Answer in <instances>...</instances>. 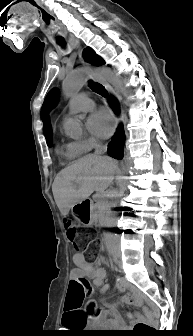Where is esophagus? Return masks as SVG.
<instances>
[{
	"instance_id": "1",
	"label": "esophagus",
	"mask_w": 193,
	"mask_h": 336,
	"mask_svg": "<svg viewBox=\"0 0 193 336\" xmlns=\"http://www.w3.org/2000/svg\"><path fill=\"white\" fill-rule=\"evenodd\" d=\"M74 45L76 46V48L78 49V51H79V57H80V59H81V61H82V64L84 65V66H87V67H90L86 62H84V60H83V57H82V49H81V46H80V42H79V40H75L74 41ZM91 77L94 79V80H96L97 82H99L100 84H102L103 86H104V88L110 93V94H112V95H115V91H114V89L108 84V83H106L104 80H102L101 78H99L95 73H93L92 75H91ZM122 114H119L117 117H116V121H117V123L119 124V123H121L122 122Z\"/></svg>"
}]
</instances>
